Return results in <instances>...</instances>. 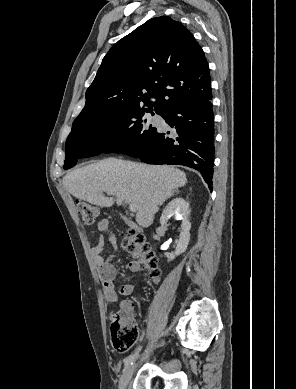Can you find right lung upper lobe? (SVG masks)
<instances>
[{"mask_svg": "<svg viewBox=\"0 0 296 389\" xmlns=\"http://www.w3.org/2000/svg\"><path fill=\"white\" fill-rule=\"evenodd\" d=\"M210 93L209 67L201 46L180 22L161 16L148 20L109 50L77 118L111 108L140 109L141 104L148 106L142 110L150 112L154 107L165 115ZM150 98L155 101L149 102Z\"/></svg>", "mask_w": 296, "mask_h": 389, "instance_id": "obj_1", "label": "right lung upper lobe"}]
</instances>
